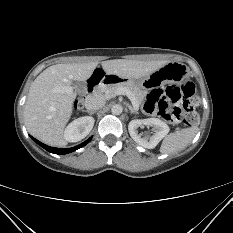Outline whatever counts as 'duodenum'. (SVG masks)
I'll list each match as a JSON object with an SVG mask.
<instances>
[{
	"label": "duodenum",
	"instance_id": "duodenum-1",
	"mask_svg": "<svg viewBox=\"0 0 233 233\" xmlns=\"http://www.w3.org/2000/svg\"><path fill=\"white\" fill-rule=\"evenodd\" d=\"M118 77L119 76L112 73L103 72L102 67H95L94 74L89 78L86 85L88 86L89 91H93L100 87L119 83L121 80H118Z\"/></svg>",
	"mask_w": 233,
	"mask_h": 233
}]
</instances>
